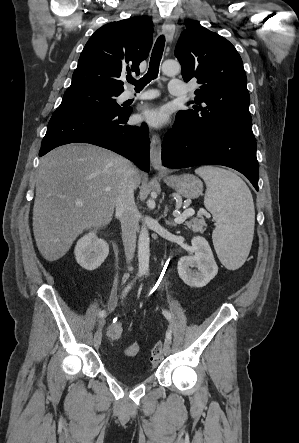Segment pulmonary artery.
I'll use <instances>...</instances> for the list:
<instances>
[{"label":"pulmonary artery","instance_id":"obj_1","mask_svg":"<svg viewBox=\"0 0 299 443\" xmlns=\"http://www.w3.org/2000/svg\"><path fill=\"white\" fill-rule=\"evenodd\" d=\"M186 86L184 83L178 79H172L169 82V92L174 96H182L186 93ZM157 95L155 91L134 94L133 92H125L123 97L125 100L134 99V100H145L152 99Z\"/></svg>","mask_w":299,"mask_h":443}]
</instances>
